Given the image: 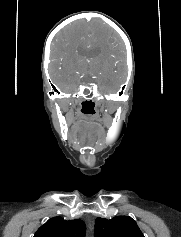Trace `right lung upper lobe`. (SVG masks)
I'll return each instance as SVG.
<instances>
[{
  "label": "right lung upper lobe",
  "mask_w": 181,
  "mask_h": 237,
  "mask_svg": "<svg viewBox=\"0 0 181 237\" xmlns=\"http://www.w3.org/2000/svg\"><path fill=\"white\" fill-rule=\"evenodd\" d=\"M86 226L80 219L66 221L53 217L43 224L34 237H85Z\"/></svg>",
  "instance_id": "right-lung-upper-lobe-1"
}]
</instances>
